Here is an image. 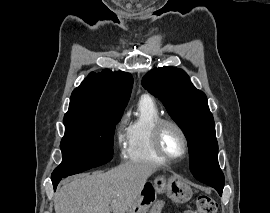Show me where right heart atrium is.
Here are the masks:
<instances>
[{
    "label": "right heart atrium",
    "instance_id": "obj_1",
    "mask_svg": "<svg viewBox=\"0 0 270 213\" xmlns=\"http://www.w3.org/2000/svg\"><path fill=\"white\" fill-rule=\"evenodd\" d=\"M122 123L123 122L120 121L115 130V140L119 146H122L125 139V134L122 131Z\"/></svg>",
    "mask_w": 270,
    "mask_h": 213
}]
</instances>
